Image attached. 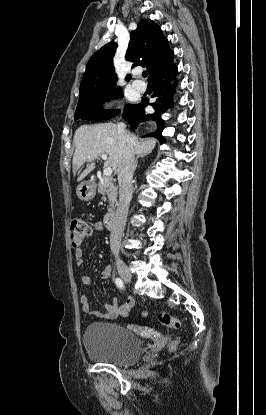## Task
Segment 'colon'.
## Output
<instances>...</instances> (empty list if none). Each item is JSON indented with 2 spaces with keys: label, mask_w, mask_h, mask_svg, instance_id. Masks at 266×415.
I'll return each instance as SVG.
<instances>
[{
  "label": "colon",
  "mask_w": 266,
  "mask_h": 415,
  "mask_svg": "<svg viewBox=\"0 0 266 415\" xmlns=\"http://www.w3.org/2000/svg\"><path fill=\"white\" fill-rule=\"evenodd\" d=\"M90 234L89 223L83 217H75L70 223V241L74 247L81 245ZM160 323L166 327L178 329L181 326L180 321L169 313H161L159 315ZM179 343V338L175 339L171 344L174 349Z\"/></svg>",
  "instance_id": "5ec220e1"
}]
</instances>
